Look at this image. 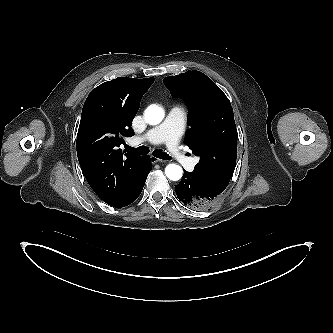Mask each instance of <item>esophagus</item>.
Instances as JSON below:
<instances>
[{
    "label": "esophagus",
    "instance_id": "34e87169",
    "mask_svg": "<svg viewBox=\"0 0 333 333\" xmlns=\"http://www.w3.org/2000/svg\"><path fill=\"white\" fill-rule=\"evenodd\" d=\"M150 160L152 163L165 162V160L159 159L155 156H150Z\"/></svg>",
    "mask_w": 333,
    "mask_h": 333
}]
</instances>
